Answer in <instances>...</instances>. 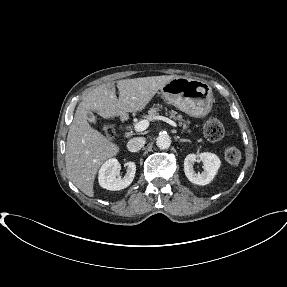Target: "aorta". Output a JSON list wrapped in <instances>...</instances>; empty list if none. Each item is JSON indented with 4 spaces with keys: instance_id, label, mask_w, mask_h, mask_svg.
Wrapping results in <instances>:
<instances>
[{
    "instance_id": "aorta-1",
    "label": "aorta",
    "mask_w": 287,
    "mask_h": 287,
    "mask_svg": "<svg viewBox=\"0 0 287 287\" xmlns=\"http://www.w3.org/2000/svg\"><path fill=\"white\" fill-rule=\"evenodd\" d=\"M156 145L159 149H168L171 145V139L167 134H160L156 139Z\"/></svg>"
}]
</instances>
